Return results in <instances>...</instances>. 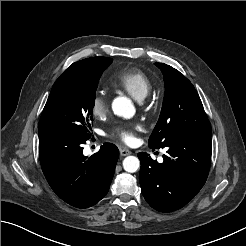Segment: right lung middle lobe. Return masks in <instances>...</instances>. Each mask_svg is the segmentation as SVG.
<instances>
[{"label": "right lung middle lobe", "mask_w": 246, "mask_h": 246, "mask_svg": "<svg viewBox=\"0 0 246 246\" xmlns=\"http://www.w3.org/2000/svg\"><path fill=\"white\" fill-rule=\"evenodd\" d=\"M111 62L108 57H92L81 66L66 70L52 87L39 132H69L89 138L98 81Z\"/></svg>", "instance_id": "obj_1"}]
</instances>
